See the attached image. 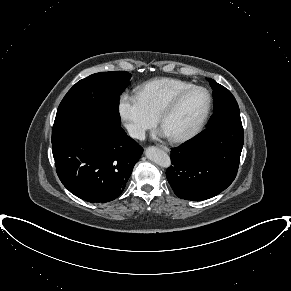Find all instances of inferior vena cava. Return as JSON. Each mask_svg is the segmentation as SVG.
Instances as JSON below:
<instances>
[{
  "instance_id": "602c4592",
  "label": "inferior vena cava",
  "mask_w": 291,
  "mask_h": 291,
  "mask_svg": "<svg viewBox=\"0 0 291 291\" xmlns=\"http://www.w3.org/2000/svg\"><path fill=\"white\" fill-rule=\"evenodd\" d=\"M126 128L131 137L139 139V140L145 139V131L141 127L135 124H128Z\"/></svg>"
}]
</instances>
